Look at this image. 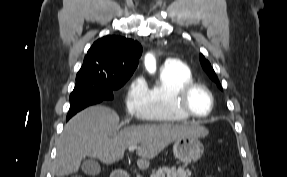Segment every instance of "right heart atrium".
<instances>
[{"label": "right heart atrium", "instance_id": "1", "mask_svg": "<svg viewBox=\"0 0 287 177\" xmlns=\"http://www.w3.org/2000/svg\"><path fill=\"white\" fill-rule=\"evenodd\" d=\"M148 87L145 80L141 77L134 78L128 85L124 103L126 109L139 118H144L145 102Z\"/></svg>", "mask_w": 287, "mask_h": 177}]
</instances>
